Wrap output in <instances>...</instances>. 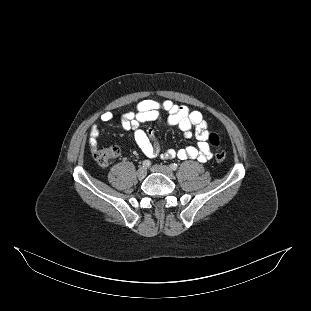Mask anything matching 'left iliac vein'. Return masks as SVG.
Masks as SVG:
<instances>
[{
	"label": "left iliac vein",
	"mask_w": 311,
	"mask_h": 311,
	"mask_svg": "<svg viewBox=\"0 0 311 311\" xmlns=\"http://www.w3.org/2000/svg\"><path fill=\"white\" fill-rule=\"evenodd\" d=\"M150 169L153 172L162 173V174L166 175L169 178H173L174 177V174H173L172 170L169 167L165 166V165H154Z\"/></svg>",
	"instance_id": "4c4485c4"
}]
</instances>
